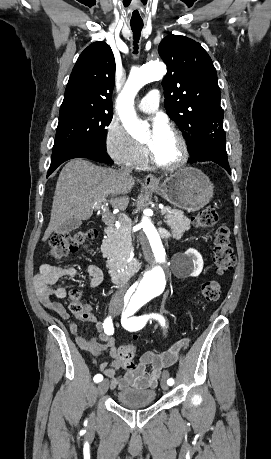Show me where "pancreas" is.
<instances>
[{
    "instance_id": "cf45deb5",
    "label": "pancreas",
    "mask_w": 271,
    "mask_h": 459,
    "mask_svg": "<svg viewBox=\"0 0 271 459\" xmlns=\"http://www.w3.org/2000/svg\"><path fill=\"white\" fill-rule=\"evenodd\" d=\"M163 214H171L169 219H166L168 226H170L173 237H181L185 231L190 229V220L184 216L182 210H171L169 206H166L165 210H162ZM119 228L108 233L107 239L103 241L101 245V251L104 257H115V255L125 256L127 249L131 245V220L126 216H120Z\"/></svg>"
}]
</instances>
